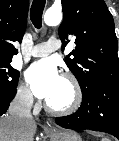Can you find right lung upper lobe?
Returning <instances> with one entry per match:
<instances>
[{
	"mask_svg": "<svg viewBox=\"0 0 119 141\" xmlns=\"http://www.w3.org/2000/svg\"><path fill=\"white\" fill-rule=\"evenodd\" d=\"M28 7L29 0H0V59L17 54L13 43L23 38Z\"/></svg>",
	"mask_w": 119,
	"mask_h": 141,
	"instance_id": "1",
	"label": "right lung upper lobe"
}]
</instances>
